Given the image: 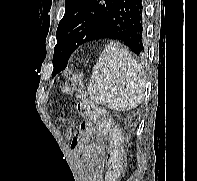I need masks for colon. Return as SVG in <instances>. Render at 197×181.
Instances as JSON below:
<instances>
[{
    "mask_svg": "<svg viewBox=\"0 0 197 181\" xmlns=\"http://www.w3.org/2000/svg\"><path fill=\"white\" fill-rule=\"evenodd\" d=\"M63 91L67 94H76L80 114L88 122L95 123L97 130L105 137L107 146L105 181H117L123 174L121 129L111 122L102 108L86 96L79 74L68 77Z\"/></svg>",
    "mask_w": 197,
    "mask_h": 181,
    "instance_id": "colon-1",
    "label": "colon"
}]
</instances>
